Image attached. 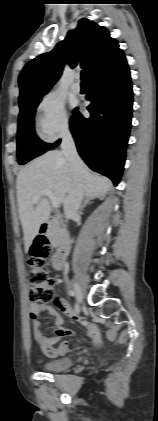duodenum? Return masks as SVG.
Segmentation results:
<instances>
[{
    "label": "duodenum",
    "mask_w": 158,
    "mask_h": 421,
    "mask_svg": "<svg viewBox=\"0 0 158 421\" xmlns=\"http://www.w3.org/2000/svg\"><path fill=\"white\" fill-rule=\"evenodd\" d=\"M59 221L58 217H50L46 219L40 226V234L45 235L52 223ZM70 251V240L65 239L59 246L56 254L53 257V268L56 270L62 269L66 258Z\"/></svg>",
    "instance_id": "duodenum-1"
}]
</instances>
